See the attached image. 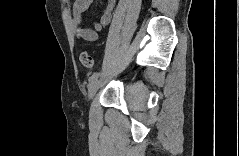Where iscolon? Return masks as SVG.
Returning a JSON list of instances; mask_svg holds the SVG:
<instances>
[{
	"instance_id": "obj_1",
	"label": "colon",
	"mask_w": 239,
	"mask_h": 156,
	"mask_svg": "<svg viewBox=\"0 0 239 156\" xmlns=\"http://www.w3.org/2000/svg\"><path fill=\"white\" fill-rule=\"evenodd\" d=\"M81 64L84 67L92 68L94 66V60L92 56L87 51H82L79 55Z\"/></svg>"
}]
</instances>
